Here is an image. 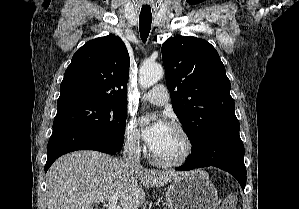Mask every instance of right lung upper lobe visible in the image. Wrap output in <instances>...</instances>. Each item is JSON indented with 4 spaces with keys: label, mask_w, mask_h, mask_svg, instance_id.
<instances>
[{
    "label": "right lung upper lobe",
    "mask_w": 299,
    "mask_h": 209,
    "mask_svg": "<svg viewBox=\"0 0 299 209\" xmlns=\"http://www.w3.org/2000/svg\"><path fill=\"white\" fill-rule=\"evenodd\" d=\"M130 58L115 35L84 44L72 57L57 104L78 101L126 104Z\"/></svg>",
    "instance_id": "obj_1"
}]
</instances>
